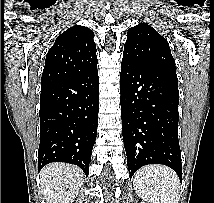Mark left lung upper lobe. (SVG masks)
Wrapping results in <instances>:
<instances>
[{"instance_id":"left-lung-upper-lobe-1","label":"left lung upper lobe","mask_w":214,"mask_h":203,"mask_svg":"<svg viewBox=\"0 0 214 203\" xmlns=\"http://www.w3.org/2000/svg\"><path fill=\"white\" fill-rule=\"evenodd\" d=\"M123 55L177 76L168 42L146 23H140L128 30Z\"/></svg>"}]
</instances>
